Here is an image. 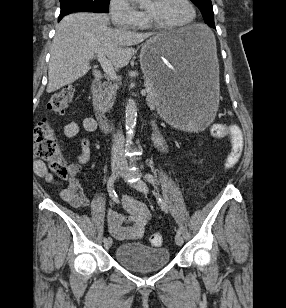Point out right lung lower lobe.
Listing matches in <instances>:
<instances>
[{
    "mask_svg": "<svg viewBox=\"0 0 286 308\" xmlns=\"http://www.w3.org/2000/svg\"><path fill=\"white\" fill-rule=\"evenodd\" d=\"M63 16H65V14H60L58 21H59Z\"/></svg>",
    "mask_w": 286,
    "mask_h": 308,
    "instance_id": "98d812e1",
    "label": "right lung lower lobe"
}]
</instances>
